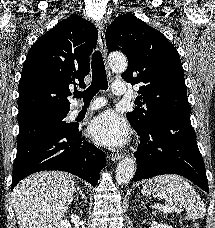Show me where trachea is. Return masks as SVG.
<instances>
[{
  "label": "trachea",
  "instance_id": "1",
  "mask_svg": "<svg viewBox=\"0 0 215 228\" xmlns=\"http://www.w3.org/2000/svg\"><path fill=\"white\" fill-rule=\"evenodd\" d=\"M92 82L89 88L83 92H75V98H83L85 104H89L92 98L99 90H107L108 82L106 78V70L99 50H96L92 56Z\"/></svg>",
  "mask_w": 215,
  "mask_h": 228
}]
</instances>
